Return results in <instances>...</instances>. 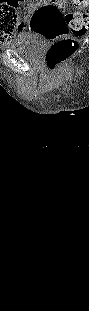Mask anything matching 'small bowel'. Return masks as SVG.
Returning <instances> with one entry per match:
<instances>
[{"label":"small bowel","mask_w":89,"mask_h":311,"mask_svg":"<svg viewBox=\"0 0 89 311\" xmlns=\"http://www.w3.org/2000/svg\"><path fill=\"white\" fill-rule=\"evenodd\" d=\"M27 36V33L23 31V25L19 24V26L14 29L12 32V38L17 41H23ZM2 37H6L5 34H2Z\"/></svg>","instance_id":"small-bowel-1"}]
</instances>
